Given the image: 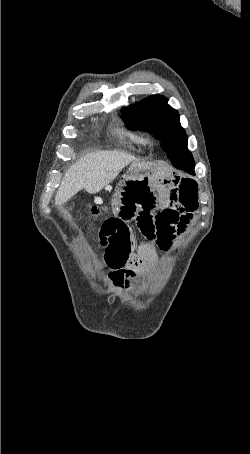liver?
I'll return each instance as SVG.
<instances>
[{"instance_id": "obj_1", "label": "liver", "mask_w": 250, "mask_h": 454, "mask_svg": "<svg viewBox=\"0 0 250 454\" xmlns=\"http://www.w3.org/2000/svg\"><path fill=\"white\" fill-rule=\"evenodd\" d=\"M130 163L139 161L134 156L120 151L88 153L65 173L55 197L56 205L64 204L82 189L90 194L98 193Z\"/></svg>"}]
</instances>
